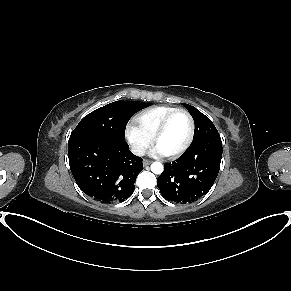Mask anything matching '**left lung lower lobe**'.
<instances>
[{
    "mask_svg": "<svg viewBox=\"0 0 291 291\" xmlns=\"http://www.w3.org/2000/svg\"><path fill=\"white\" fill-rule=\"evenodd\" d=\"M222 151L219 134L192 142L179 159L164 165L157 179L161 195L168 201L186 204L207 194L219 173Z\"/></svg>",
    "mask_w": 291,
    "mask_h": 291,
    "instance_id": "obj_1",
    "label": "left lung lower lobe"
}]
</instances>
